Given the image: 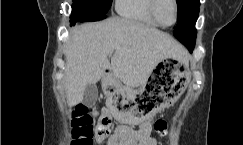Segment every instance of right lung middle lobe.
Segmentation results:
<instances>
[{
  "mask_svg": "<svg viewBox=\"0 0 243 145\" xmlns=\"http://www.w3.org/2000/svg\"><path fill=\"white\" fill-rule=\"evenodd\" d=\"M74 7L90 8L95 12L107 14L111 7L112 0H73Z\"/></svg>",
  "mask_w": 243,
  "mask_h": 145,
  "instance_id": "1",
  "label": "right lung middle lobe"
}]
</instances>
